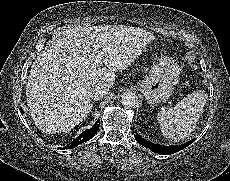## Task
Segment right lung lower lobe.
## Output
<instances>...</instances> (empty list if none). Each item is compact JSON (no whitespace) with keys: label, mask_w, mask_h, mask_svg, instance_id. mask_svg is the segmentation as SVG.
I'll use <instances>...</instances> for the list:
<instances>
[{"label":"right lung lower lobe","mask_w":230,"mask_h":181,"mask_svg":"<svg viewBox=\"0 0 230 181\" xmlns=\"http://www.w3.org/2000/svg\"><path fill=\"white\" fill-rule=\"evenodd\" d=\"M20 111L21 113H23L22 109H20ZM99 127H100V121L97 120V122L92 126V128L87 129L86 131L82 132L75 140H73L70 144H68L63 149H72L78 146L79 144L90 140L97 133Z\"/></svg>","instance_id":"obj_1"}]
</instances>
